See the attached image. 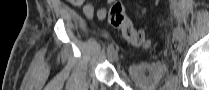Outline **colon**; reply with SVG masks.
Segmentation results:
<instances>
[{
    "label": "colon",
    "mask_w": 209,
    "mask_h": 90,
    "mask_svg": "<svg viewBox=\"0 0 209 90\" xmlns=\"http://www.w3.org/2000/svg\"><path fill=\"white\" fill-rule=\"evenodd\" d=\"M108 19L113 27L120 30L122 37L132 46L149 48L150 42L144 32L136 29L124 13L121 2L114 3L108 13Z\"/></svg>",
    "instance_id": "obj_1"
}]
</instances>
